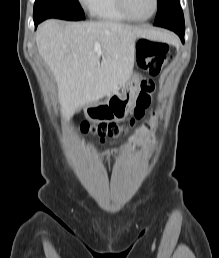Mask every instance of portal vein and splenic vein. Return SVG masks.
Wrapping results in <instances>:
<instances>
[{
  "label": "portal vein and splenic vein",
  "instance_id": "portal-vein-and-splenic-vein-1",
  "mask_svg": "<svg viewBox=\"0 0 219 258\" xmlns=\"http://www.w3.org/2000/svg\"><path fill=\"white\" fill-rule=\"evenodd\" d=\"M94 50L97 54H101L102 53V49H101V46L98 42H95L94 43Z\"/></svg>",
  "mask_w": 219,
  "mask_h": 258
}]
</instances>
